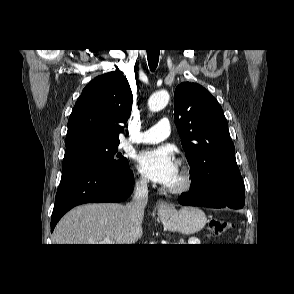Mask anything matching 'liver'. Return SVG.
Returning a JSON list of instances; mask_svg holds the SVG:
<instances>
[{
  "mask_svg": "<svg viewBox=\"0 0 294 294\" xmlns=\"http://www.w3.org/2000/svg\"><path fill=\"white\" fill-rule=\"evenodd\" d=\"M143 234L142 226L133 229L127 206L117 203H90L69 211L58 222L53 244H99L111 239L114 244H132Z\"/></svg>",
  "mask_w": 294,
  "mask_h": 294,
  "instance_id": "6515ba94",
  "label": "liver"
}]
</instances>
